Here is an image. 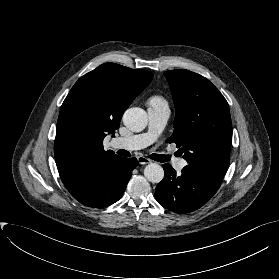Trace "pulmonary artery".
<instances>
[{"instance_id": "1", "label": "pulmonary artery", "mask_w": 279, "mask_h": 279, "mask_svg": "<svg viewBox=\"0 0 279 279\" xmlns=\"http://www.w3.org/2000/svg\"><path fill=\"white\" fill-rule=\"evenodd\" d=\"M148 131L142 134L128 137H119L113 140L114 147L126 150H139L150 145L163 131L169 118V109L166 106H152L148 109ZM174 168L181 171L186 166V161L181 158H174Z\"/></svg>"}]
</instances>
